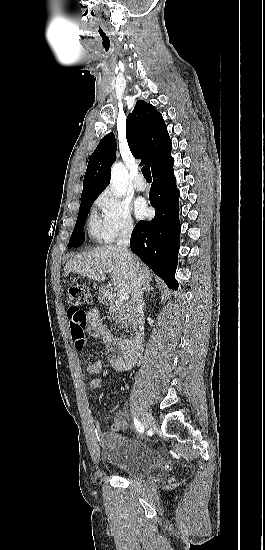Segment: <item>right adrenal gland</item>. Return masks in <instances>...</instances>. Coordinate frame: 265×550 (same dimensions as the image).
I'll return each instance as SVG.
<instances>
[{"instance_id": "2a0ac1e0", "label": "right adrenal gland", "mask_w": 265, "mask_h": 550, "mask_svg": "<svg viewBox=\"0 0 265 550\" xmlns=\"http://www.w3.org/2000/svg\"><path fill=\"white\" fill-rule=\"evenodd\" d=\"M154 288L151 286L150 283H146L145 285L142 286L141 288V291H140V300L141 302L143 303L144 305V301H143V295L145 292H149V291H152Z\"/></svg>"}]
</instances>
